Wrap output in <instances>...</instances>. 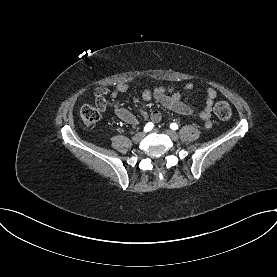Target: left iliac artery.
I'll return each mask as SVG.
<instances>
[{"label":"left iliac artery","mask_w":277,"mask_h":277,"mask_svg":"<svg viewBox=\"0 0 277 277\" xmlns=\"http://www.w3.org/2000/svg\"><path fill=\"white\" fill-rule=\"evenodd\" d=\"M170 128H171L172 130H176V129H178V125H177L176 123H171V124H170Z\"/></svg>","instance_id":"1"}]
</instances>
